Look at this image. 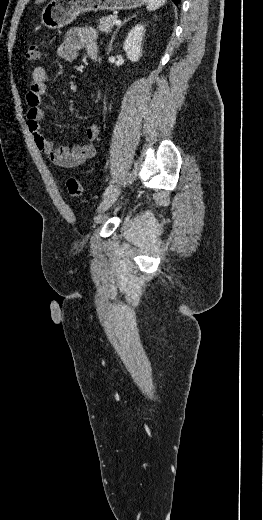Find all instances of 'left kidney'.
I'll return each mask as SVG.
<instances>
[{"label":"left kidney","instance_id":"1","mask_svg":"<svg viewBox=\"0 0 263 520\" xmlns=\"http://www.w3.org/2000/svg\"><path fill=\"white\" fill-rule=\"evenodd\" d=\"M144 32V26L139 24L133 27L126 37L123 49L132 62L138 61L142 55L141 42Z\"/></svg>","mask_w":263,"mask_h":520}]
</instances>
